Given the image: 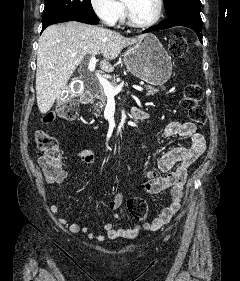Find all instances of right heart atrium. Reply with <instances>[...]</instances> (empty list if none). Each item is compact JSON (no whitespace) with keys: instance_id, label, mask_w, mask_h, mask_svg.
<instances>
[{"instance_id":"right-heart-atrium-1","label":"right heart atrium","mask_w":240,"mask_h":281,"mask_svg":"<svg viewBox=\"0 0 240 281\" xmlns=\"http://www.w3.org/2000/svg\"><path fill=\"white\" fill-rule=\"evenodd\" d=\"M89 3L94 14L107 25H115L124 12L119 0H89Z\"/></svg>"}]
</instances>
